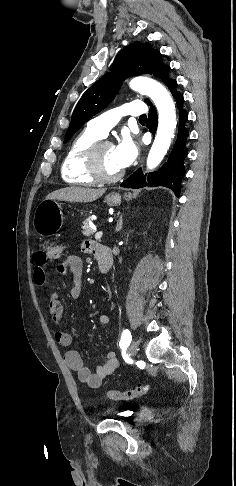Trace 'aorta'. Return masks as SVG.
Here are the masks:
<instances>
[{
  "mask_svg": "<svg viewBox=\"0 0 236 486\" xmlns=\"http://www.w3.org/2000/svg\"><path fill=\"white\" fill-rule=\"evenodd\" d=\"M130 87L148 95L155 103L159 113L156 137L147 158L148 169H154L166 155L176 128L175 105L167 89L153 79L135 78L130 82Z\"/></svg>",
  "mask_w": 236,
  "mask_h": 486,
  "instance_id": "762f6f07",
  "label": "aorta"
}]
</instances>
